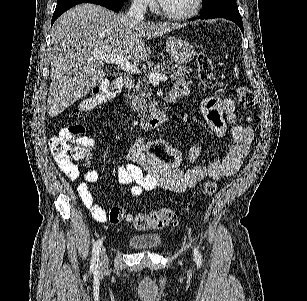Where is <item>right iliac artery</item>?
Segmentation results:
<instances>
[{
  "instance_id": "82829eb1",
  "label": "right iliac artery",
  "mask_w": 307,
  "mask_h": 301,
  "mask_svg": "<svg viewBox=\"0 0 307 301\" xmlns=\"http://www.w3.org/2000/svg\"><path fill=\"white\" fill-rule=\"evenodd\" d=\"M102 240L99 239L93 245L92 250V260H91V269L96 270L98 268V261H99V251L101 249Z\"/></svg>"
}]
</instances>
